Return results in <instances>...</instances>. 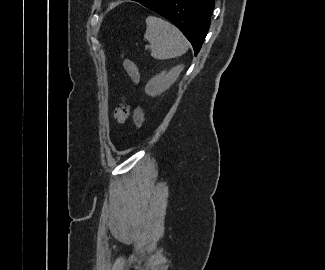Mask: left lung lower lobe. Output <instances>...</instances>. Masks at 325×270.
<instances>
[{
  "mask_svg": "<svg viewBox=\"0 0 325 270\" xmlns=\"http://www.w3.org/2000/svg\"><path fill=\"white\" fill-rule=\"evenodd\" d=\"M175 24L197 55L210 26L215 0H133Z\"/></svg>",
  "mask_w": 325,
  "mask_h": 270,
  "instance_id": "0a47b994",
  "label": "left lung lower lobe"
}]
</instances>
